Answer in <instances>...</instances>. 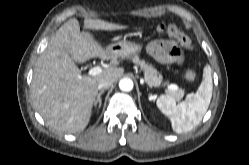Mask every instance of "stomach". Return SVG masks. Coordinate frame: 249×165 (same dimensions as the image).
<instances>
[{"label": "stomach", "instance_id": "0dacf381", "mask_svg": "<svg viewBox=\"0 0 249 165\" xmlns=\"http://www.w3.org/2000/svg\"><path fill=\"white\" fill-rule=\"evenodd\" d=\"M143 45L139 42L122 41L107 47L108 54L124 57H134L142 51Z\"/></svg>", "mask_w": 249, "mask_h": 165}]
</instances>
